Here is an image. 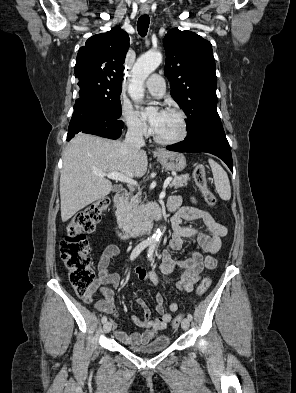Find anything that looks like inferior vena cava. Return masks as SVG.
<instances>
[{"label": "inferior vena cava", "instance_id": "1", "mask_svg": "<svg viewBox=\"0 0 296 393\" xmlns=\"http://www.w3.org/2000/svg\"><path fill=\"white\" fill-rule=\"evenodd\" d=\"M145 145L143 138V127L140 124H132L128 127L125 140L122 144V151L129 157L135 155L140 147Z\"/></svg>", "mask_w": 296, "mask_h": 393}]
</instances>
